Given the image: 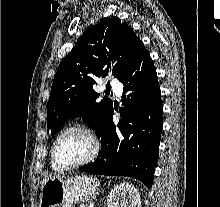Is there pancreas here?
I'll return each mask as SVG.
<instances>
[{
  "mask_svg": "<svg viewBox=\"0 0 220 207\" xmlns=\"http://www.w3.org/2000/svg\"><path fill=\"white\" fill-rule=\"evenodd\" d=\"M80 207H86L84 204H81Z\"/></svg>",
  "mask_w": 220,
  "mask_h": 207,
  "instance_id": "pancreas-1",
  "label": "pancreas"
}]
</instances>
